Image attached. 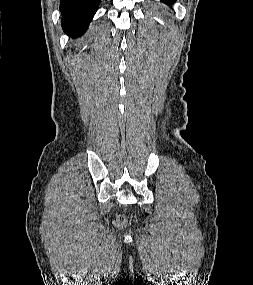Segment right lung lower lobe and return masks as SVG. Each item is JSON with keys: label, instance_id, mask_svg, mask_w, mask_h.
I'll return each mask as SVG.
<instances>
[{"label": "right lung lower lobe", "instance_id": "1", "mask_svg": "<svg viewBox=\"0 0 253 285\" xmlns=\"http://www.w3.org/2000/svg\"><path fill=\"white\" fill-rule=\"evenodd\" d=\"M100 0H61V25L72 37L82 35L96 13Z\"/></svg>", "mask_w": 253, "mask_h": 285}]
</instances>
